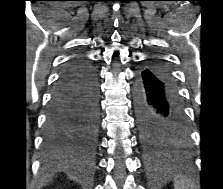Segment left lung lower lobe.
<instances>
[{"instance_id":"left-lung-lower-lobe-1","label":"left lung lower lobe","mask_w":223,"mask_h":189,"mask_svg":"<svg viewBox=\"0 0 223 189\" xmlns=\"http://www.w3.org/2000/svg\"><path fill=\"white\" fill-rule=\"evenodd\" d=\"M134 99L139 126H162L172 135L187 140L188 128L178 88L161 61L152 60L139 71Z\"/></svg>"}]
</instances>
